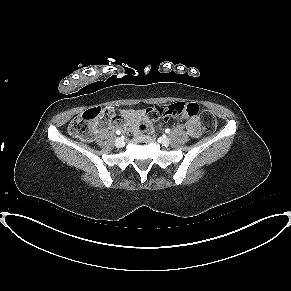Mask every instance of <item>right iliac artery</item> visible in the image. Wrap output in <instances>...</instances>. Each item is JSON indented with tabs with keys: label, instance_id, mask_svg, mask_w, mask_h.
<instances>
[{
	"label": "right iliac artery",
	"instance_id": "82829eb1",
	"mask_svg": "<svg viewBox=\"0 0 291 291\" xmlns=\"http://www.w3.org/2000/svg\"><path fill=\"white\" fill-rule=\"evenodd\" d=\"M120 133H121V132H120L119 130H118V131H116V134H118V135H119Z\"/></svg>",
	"mask_w": 291,
	"mask_h": 291
}]
</instances>
